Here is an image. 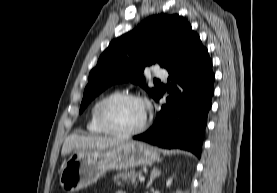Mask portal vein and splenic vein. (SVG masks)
<instances>
[{
  "instance_id": "portal-vein-and-splenic-vein-1",
  "label": "portal vein and splenic vein",
  "mask_w": 277,
  "mask_h": 193,
  "mask_svg": "<svg viewBox=\"0 0 277 193\" xmlns=\"http://www.w3.org/2000/svg\"><path fill=\"white\" fill-rule=\"evenodd\" d=\"M139 181H140V182L145 181V177H144V176H140V177H139Z\"/></svg>"
}]
</instances>
